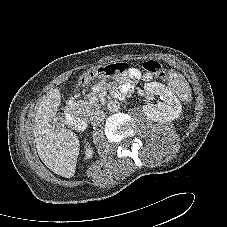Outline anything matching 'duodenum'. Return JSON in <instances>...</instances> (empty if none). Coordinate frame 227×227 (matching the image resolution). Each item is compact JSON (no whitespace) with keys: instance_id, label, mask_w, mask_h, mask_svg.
<instances>
[{"instance_id":"obj_1","label":"duodenum","mask_w":227,"mask_h":227,"mask_svg":"<svg viewBox=\"0 0 227 227\" xmlns=\"http://www.w3.org/2000/svg\"><path fill=\"white\" fill-rule=\"evenodd\" d=\"M65 117L76 131H84L88 127L87 120L76 114V108L73 104L67 106Z\"/></svg>"}]
</instances>
